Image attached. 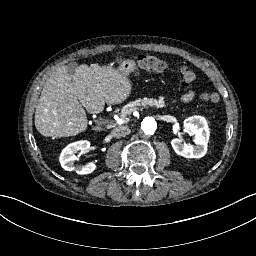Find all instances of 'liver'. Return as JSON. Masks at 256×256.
<instances>
[{
	"mask_svg": "<svg viewBox=\"0 0 256 256\" xmlns=\"http://www.w3.org/2000/svg\"><path fill=\"white\" fill-rule=\"evenodd\" d=\"M132 91L133 82L122 67L82 63L72 72L68 65H62L44 84L35 111V127L45 137L77 136L88 127L84 108L98 114L105 104L125 103Z\"/></svg>",
	"mask_w": 256,
	"mask_h": 256,
	"instance_id": "1",
	"label": "liver"
}]
</instances>
